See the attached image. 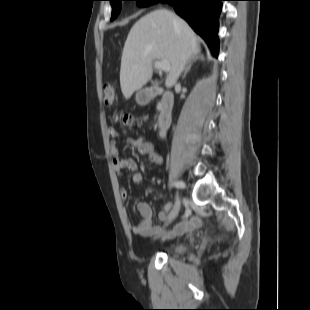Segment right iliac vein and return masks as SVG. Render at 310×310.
I'll list each match as a JSON object with an SVG mask.
<instances>
[{
    "label": "right iliac vein",
    "mask_w": 310,
    "mask_h": 310,
    "mask_svg": "<svg viewBox=\"0 0 310 310\" xmlns=\"http://www.w3.org/2000/svg\"><path fill=\"white\" fill-rule=\"evenodd\" d=\"M181 201H182V198L179 195H177L175 206L173 210L171 211V213L169 214L166 224L171 223L177 217L180 211Z\"/></svg>",
    "instance_id": "63e3f726"
}]
</instances>
